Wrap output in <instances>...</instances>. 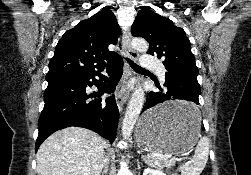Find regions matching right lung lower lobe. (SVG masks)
Returning <instances> with one entry per match:
<instances>
[{
	"mask_svg": "<svg viewBox=\"0 0 251 175\" xmlns=\"http://www.w3.org/2000/svg\"><path fill=\"white\" fill-rule=\"evenodd\" d=\"M122 59L115 60L107 66L109 77L100 71L88 74L48 80L44 93L45 105L41 112L38 127L39 133L35 144L37 152L41 143L57 130L78 126L97 132L112 143L116 137L119 111L114 96L105 100L101 98L86 101L90 97H99L104 93L115 91L123 73ZM95 76L102 80L96 81ZM96 85L98 92L86 93V87Z\"/></svg>",
	"mask_w": 251,
	"mask_h": 175,
	"instance_id": "right-lung-lower-lobe-1",
	"label": "right lung lower lobe"
}]
</instances>
